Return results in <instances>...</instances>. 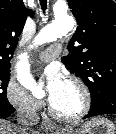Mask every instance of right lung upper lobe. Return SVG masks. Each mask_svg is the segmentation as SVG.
Masks as SVG:
<instances>
[{"mask_svg": "<svg viewBox=\"0 0 116 134\" xmlns=\"http://www.w3.org/2000/svg\"><path fill=\"white\" fill-rule=\"evenodd\" d=\"M28 14L33 17L23 0H0V70L11 67L10 60Z\"/></svg>", "mask_w": 116, "mask_h": 134, "instance_id": "obj_1", "label": "right lung upper lobe"}]
</instances>
